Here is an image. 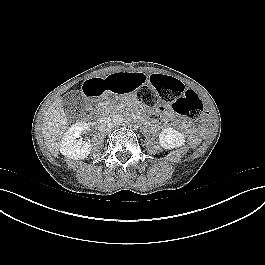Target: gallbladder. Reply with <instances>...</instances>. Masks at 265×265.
Instances as JSON below:
<instances>
[{"label":"gallbladder","instance_id":"1","mask_svg":"<svg viewBox=\"0 0 265 265\" xmlns=\"http://www.w3.org/2000/svg\"><path fill=\"white\" fill-rule=\"evenodd\" d=\"M62 106L67 116L74 117L84 111L85 102L79 92L71 91L63 96Z\"/></svg>","mask_w":265,"mask_h":265}]
</instances>
